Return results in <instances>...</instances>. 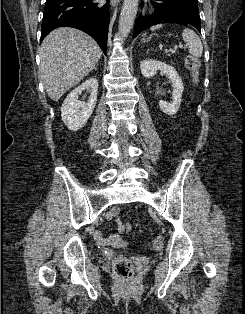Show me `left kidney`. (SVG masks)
Segmentation results:
<instances>
[{
  "label": "left kidney",
  "instance_id": "left-kidney-1",
  "mask_svg": "<svg viewBox=\"0 0 245 314\" xmlns=\"http://www.w3.org/2000/svg\"><path fill=\"white\" fill-rule=\"evenodd\" d=\"M140 69L142 75L145 78L153 77L156 74V72L160 70L161 73L165 74L166 77L170 79V82L172 83L173 87L172 101L168 103L166 101L160 100L159 106L165 114L169 116L175 115L179 110L182 93L184 91L183 82L175 68L161 61L145 59L141 61Z\"/></svg>",
  "mask_w": 245,
  "mask_h": 314
}]
</instances>
